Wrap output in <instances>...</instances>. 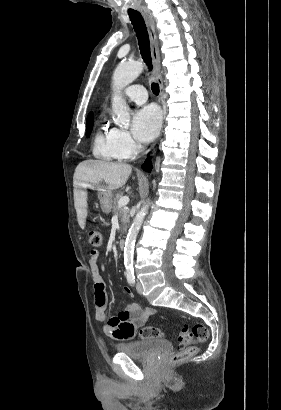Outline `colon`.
Segmentation results:
<instances>
[{"instance_id":"colon-1","label":"colon","mask_w":281,"mask_h":410,"mask_svg":"<svg viewBox=\"0 0 281 410\" xmlns=\"http://www.w3.org/2000/svg\"><path fill=\"white\" fill-rule=\"evenodd\" d=\"M88 237L91 246H101L102 234L99 231L90 230ZM208 335V329L201 324H195L192 328L188 325H184L177 338V344L181 350L171 357V362L177 364L194 356L198 350V346L193 343V339L195 338L197 343H204ZM139 336L143 339L163 338L164 333L160 328L146 326L139 331Z\"/></svg>"}]
</instances>
